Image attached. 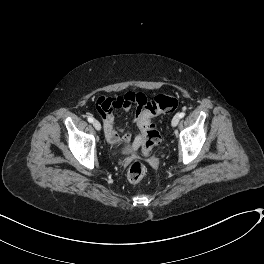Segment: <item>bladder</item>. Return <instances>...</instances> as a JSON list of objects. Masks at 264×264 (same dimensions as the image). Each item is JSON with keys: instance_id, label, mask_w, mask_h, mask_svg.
<instances>
[{"instance_id": "1", "label": "bladder", "mask_w": 264, "mask_h": 264, "mask_svg": "<svg viewBox=\"0 0 264 264\" xmlns=\"http://www.w3.org/2000/svg\"><path fill=\"white\" fill-rule=\"evenodd\" d=\"M135 152H136V151H135L134 149H132V148H127L126 151H125V153H126V154H129V155H130V154H134Z\"/></svg>"}]
</instances>
